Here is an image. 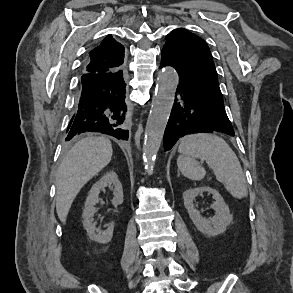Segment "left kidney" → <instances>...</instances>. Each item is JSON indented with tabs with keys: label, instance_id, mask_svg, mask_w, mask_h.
Returning a JSON list of instances; mask_svg holds the SVG:
<instances>
[{
	"label": "left kidney",
	"instance_id": "5707ae66",
	"mask_svg": "<svg viewBox=\"0 0 293 293\" xmlns=\"http://www.w3.org/2000/svg\"><path fill=\"white\" fill-rule=\"evenodd\" d=\"M208 192L212 194L214 203L211 208L215 210L216 215L211 219H205L201 216L200 212L194 208L193 201L195 198ZM184 206L188 211L189 217L192 220L196 228L208 236H217L225 232L227 226L232 222V215L230 214L229 208L224 202V199L220 193L208 186L191 188L183 192Z\"/></svg>",
	"mask_w": 293,
	"mask_h": 293
}]
</instances>
